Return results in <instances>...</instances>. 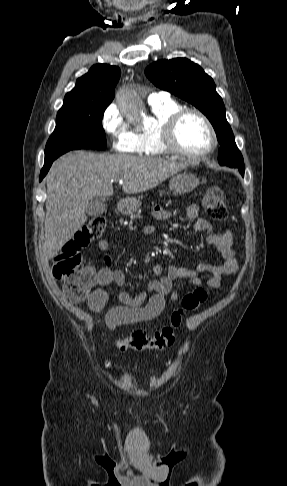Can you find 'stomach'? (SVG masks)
I'll use <instances>...</instances> for the list:
<instances>
[{
	"label": "stomach",
	"instance_id": "stomach-1",
	"mask_svg": "<svg viewBox=\"0 0 287 486\" xmlns=\"http://www.w3.org/2000/svg\"><path fill=\"white\" fill-rule=\"evenodd\" d=\"M199 179L187 172L177 174L169 180V188L176 193H189L199 185ZM141 205L136 197L123 198L118 203V210L125 215L134 213Z\"/></svg>",
	"mask_w": 287,
	"mask_h": 486
}]
</instances>
